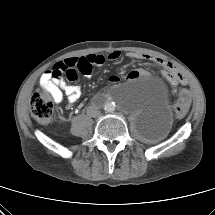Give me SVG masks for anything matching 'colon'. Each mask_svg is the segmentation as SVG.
Listing matches in <instances>:
<instances>
[{"label": "colon", "mask_w": 215, "mask_h": 215, "mask_svg": "<svg viewBox=\"0 0 215 215\" xmlns=\"http://www.w3.org/2000/svg\"><path fill=\"white\" fill-rule=\"evenodd\" d=\"M78 70L85 73L89 70V67L85 63H82L78 67ZM76 74L77 69L70 67L62 68L60 71H54L53 76L62 77L64 75L67 79H73ZM166 77L171 84L183 81V75L172 67L167 68ZM55 101L54 95L47 88L38 90L32 96L30 103V111L32 116L41 123L49 122L53 117ZM188 106L189 95L186 91H183L181 92L175 105L176 115L178 117L183 116L186 113Z\"/></svg>", "instance_id": "5ec220e1"}]
</instances>
